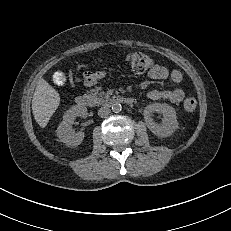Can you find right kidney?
Returning a JSON list of instances; mask_svg holds the SVG:
<instances>
[{
	"label": "right kidney",
	"mask_w": 231,
	"mask_h": 231,
	"mask_svg": "<svg viewBox=\"0 0 231 231\" xmlns=\"http://www.w3.org/2000/svg\"><path fill=\"white\" fill-rule=\"evenodd\" d=\"M87 117V108L84 106H72L63 116V121L57 128V136L59 141L68 146H78L84 139L83 132H72V125L77 117Z\"/></svg>",
	"instance_id": "ca27d5eb"
}]
</instances>
